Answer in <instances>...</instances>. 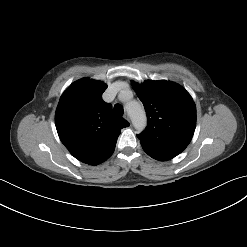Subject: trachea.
I'll use <instances>...</instances> for the list:
<instances>
[{
  "mask_svg": "<svg viewBox=\"0 0 247 247\" xmlns=\"http://www.w3.org/2000/svg\"><path fill=\"white\" fill-rule=\"evenodd\" d=\"M114 113L117 116L121 117L123 115V113H124L123 107L120 104H116L114 106Z\"/></svg>",
  "mask_w": 247,
  "mask_h": 247,
  "instance_id": "3493384b",
  "label": "trachea"
}]
</instances>
